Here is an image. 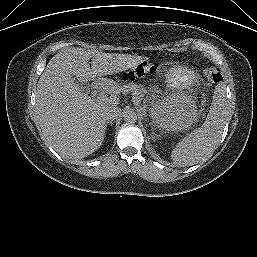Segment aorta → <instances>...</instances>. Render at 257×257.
Returning <instances> with one entry per match:
<instances>
[{"label":"aorta","mask_w":257,"mask_h":257,"mask_svg":"<svg viewBox=\"0 0 257 257\" xmlns=\"http://www.w3.org/2000/svg\"><path fill=\"white\" fill-rule=\"evenodd\" d=\"M123 118L127 124H134L137 121V115L135 111L131 108L126 109L123 112Z\"/></svg>","instance_id":"obj_1"}]
</instances>
